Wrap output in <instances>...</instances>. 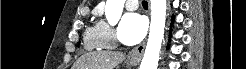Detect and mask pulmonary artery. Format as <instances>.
<instances>
[{"label":"pulmonary artery","instance_id":"pulmonary-artery-1","mask_svg":"<svg viewBox=\"0 0 246 69\" xmlns=\"http://www.w3.org/2000/svg\"><path fill=\"white\" fill-rule=\"evenodd\" d=\"M125 7L128 10H135V9L138 8V1H136V0H127L125 2Z\"/></svg>","mask_w":246,"mask_h":69}]
</instances>
